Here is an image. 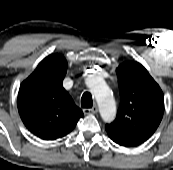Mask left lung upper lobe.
Returning a JSON list of instances; mask_svg holds the SVG:
<instances>
[{
    "label": "left lung upper lobe",
    "instance_id": "5c2ea615",
    "mask_svg": "<svg viewBox=\"0 0 173 170\" xmlns=\"http://www.w3.org/2000/svg\"><path fill=\"white\" fill-rule=\"evenodd\" d=\"M116 74L120 106L116 119L105 129L115 143L138 146L158 128L164 112V95L148 71L136 61L121 64Z\"/></svg>",
    "mask_w": 173,
    "mask_h": 170
}]
</instances>
